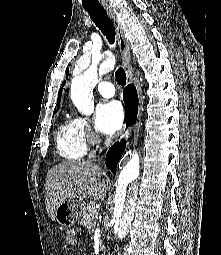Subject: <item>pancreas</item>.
<instances>
[{
    "label": "pancreas",
    "instance_id": "obj_1",
    "mask_svg": "<svg viewBox=\"0 0 221 255\" xmlns=\"http://www.w3.org/2000/svg\"><path fill=\"white\" fill-rule=\"evenodd\" d=\"M98 212L95 208V203L90 201L84 209L81 219V225L86 228L93 229L98 219Z\"/></svg>",
    "mask_w": 221,
    "mask_h": 255
}]
</instances>
